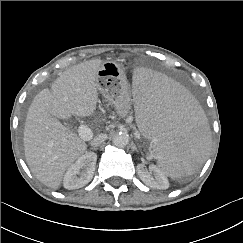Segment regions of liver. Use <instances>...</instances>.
I'll return each instance as SVG.
<instances>
[{"label":"liver","instance_id":"obj_1","mask_svg":"<svg viewBox=\"0 0 243 243\" xmlns=\"http://www.w3.org/2000/svg\"><path fill=\"white\" fill-rule=\"evenodd\" d=\"M93 59L62 73L34 98L26 116L24 151L28 167L47 187L58 189L68 167L87 150L85 140L57 118L88 117L99 103L97 72L102 65Z\"/></svg>","mask_w":243,"mask_h":243}]
</instances>
